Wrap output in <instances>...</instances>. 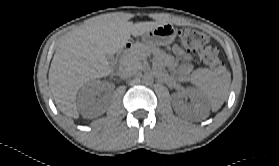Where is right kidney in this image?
Segmentation results:
<instances>
[{"instance_id":"obj_1","label":"right kidney","mask_w":279,"mask_h":166,"mask_svg":"<svg viewBox=\"0 0 279 166\" xmlns=\"http://www.w3.org/2000/svg\"><path fill=\"white\" fill-rule=\"evenodd\" d=\"M102 87L103 84L100 81H93L87 85L83 93L80 95V103L83 109L94 104L98 90L102 89Z\"/></svg>"}]
</instances>
